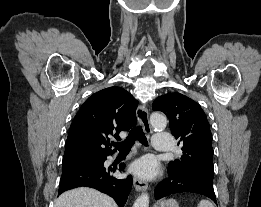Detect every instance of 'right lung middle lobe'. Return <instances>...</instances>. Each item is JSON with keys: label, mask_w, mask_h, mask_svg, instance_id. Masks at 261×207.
Segmentation results:
<instances>
[{"label": "right lung middle lobe", "mask_w": 261, "mask_h": 207, "mask_svg": "<svg viewBox=\"0 0 261 207\" xmlns=\"http://www.w3.org/2000/svg\"><path fill=\"white\" fill-rule=\"evenodd\" d=\"M102 159L103 157H87V158L63 161L62 171L72 169V168H77V167L95 165L99 163Z\"/></svg>", "instance_id": "dd1d6c3e"}]
</instances>
